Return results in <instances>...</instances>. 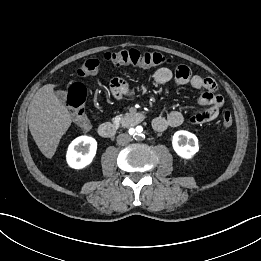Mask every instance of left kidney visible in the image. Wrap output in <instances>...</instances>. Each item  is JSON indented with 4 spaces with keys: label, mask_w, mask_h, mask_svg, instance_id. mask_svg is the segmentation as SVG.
Returning a JSON list of instances; mask_svg holds the SVG:
<instances>
[{
    "label": "left kidney",
    "mask_w": 261,
    "mask_h": 261,
    "mask_svg": "<svg viewBox=\"0 0 261 261\" xmlns=\"http://www.w3.org/2000/svg\"><path fill=\"white\" fill-rule=\"evenodd\" d=\"M172 146L174 151L184 159H191L199 151L197 137L184 130L174 133Z\"/></svg>",
    "instance_id": "obj_1"
}]
</instances>
